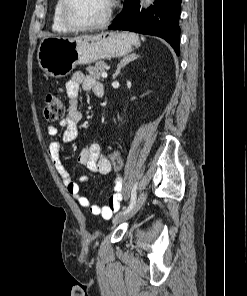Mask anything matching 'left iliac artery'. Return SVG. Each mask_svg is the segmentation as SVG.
Wrapping results in <instances>:
<instances>
[{
    "instance_id": "obj_1",
    "label": "left iliac artery",
    "mask_w": 247,
    "mask_h": 296,
    "mask_svg": "<svg viewBox=\"0 0 247 296\" xmlns=\"http://www.w3.org/2000/svg\"><path fill=\"white\" fill-rule=\"evenodd\" d=\"M136 189H137V183L133 186L130 204H129L128 208L125 209L123 212H128L135 205V203H136Z\"/></svg>"
}]
</instances>
